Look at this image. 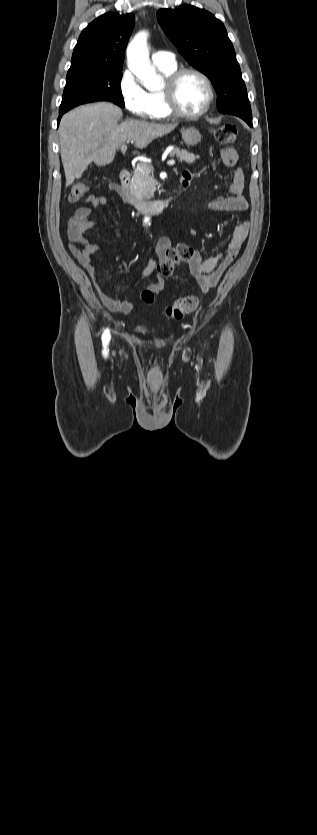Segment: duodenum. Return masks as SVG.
I'll return each instance as SVG.
<instances>
[{
	"instance_id": "410a0bca",
	"label": "duodenum",
	"mask_w": 317,
	"mask_h": 835,
	"mask_svg": "<svg viewBox=\"0 0 317 835\" xmlns=\"http://www.w3.org/2000/svg\"><path fill=\"white\" fill-rule=\"evenodd\" d=\"M130 182V172L127 169H123L120 173V186L125 194L126 201L132 205L136 210L140 212H152L155 214L163 213L170 205L172 201L176 198V194L172 197L165 199V200H153V201H146L139 199L130 195L127 190ZM183 186H186L182 182Z\"/></svg>"
}]
</instances>
